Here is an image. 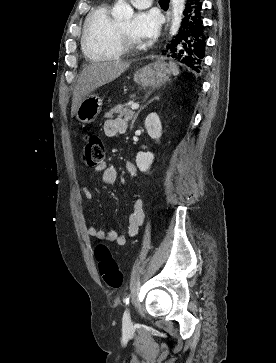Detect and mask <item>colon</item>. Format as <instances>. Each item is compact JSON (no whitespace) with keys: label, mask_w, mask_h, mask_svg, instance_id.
<instances>
[{"label":"colon","mask_w":276,"mask_h":363,"mask_svg":"<svg viewBox=\"0 0 276 363\" xmlns=\"http://www.w3.org/2000/svg\"><path fill=\"white\" fill-rule=\"evenodd\" d=\"M105 146L97 134H86L82 157L87 166L96 167L104 162ZM95 257L100 275L107 286L118 288L122 285L123 274L115 261L110 249L99 244L95 249Z\"/></svg>","instance_id":"obj_1"}]
</instances>
